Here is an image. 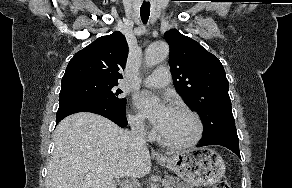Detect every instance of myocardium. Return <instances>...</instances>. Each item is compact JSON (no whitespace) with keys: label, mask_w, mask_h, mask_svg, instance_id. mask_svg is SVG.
<instances>
[{"label":"myocardium","mask_w":292,"mask_h":188,"mask_svg":"<svg viewBox=\"0 0 292 188\" xmlns=\"http://www.w3.org/2000/svg\"><path fill=\"white\" fill-rule=\"evenodd\" d=\"M173 109L184 112L193 118L196 125L195 134L193 135V137H191L187 141L174 142V141L167 140L166 138L161 136V134L157 131L156 133L157 140L164 146L169 147V148H174V149L187 148L198 143L204 134V124L200 115L194 110H192L191 108L185 105H181V104L174 106Z\"/></svg>","instance_id":"1"}]
</instances>
